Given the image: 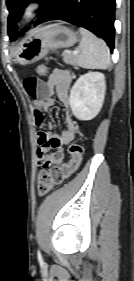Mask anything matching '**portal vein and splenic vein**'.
<instances>
[{
    "mask_svg": "<svg viewBox=\"0 0 134 281\" xmlns=\"http://www.w3.org/2000/svg\"><path fill=\"white\" fill-rule=\"evenodd\" d=\"M79 53H80L79 50H74V51H73V54H74V55H78Z\"/></svg>",
    "mask_w": 134,
    "mask_h": 281,
    "instance_id": "portal-vein-and-splenic-vein-1",
    "label": "portal vein and splenic vein"
}]
</instances>
